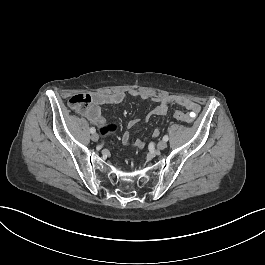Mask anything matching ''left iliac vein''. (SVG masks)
<instances>
[{"instance_id": "1", "label": "left iliac vein", "mask_w": 265, "mask_h": 265, "mask_svg": "<svg viewBox=\"0 0 265 265\" xmlns=\"http://www.w3.org/2000/svg\"><path fill=\"white\" fill-rule=\"evenodd\" d=\"M167 147V143L166 141L162 140L157 144V149L158 150H163Z\"/></svg>"}]
</instances>
